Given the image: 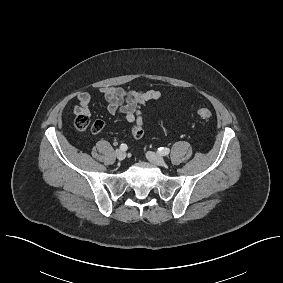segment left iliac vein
I'll use <instances>...</instances> for the list:
<instances>
[{
  "mask_svg": "<svg viewBox=\"0 0 283 283\" xmlns=\"http://www.w3.org/2000/svg\"><path fill=\"white\" fill-rule=\"evenodd\" d=\"M146 157L150 162L158 166H164L166 163L161 155L154 152H147Z\"/></svg>",
  "mask_w": 283,
  "mask_h": 283,
  "instance_id": "4c4485c4",
  "label": "left iliac vein"
}]
</instances>
